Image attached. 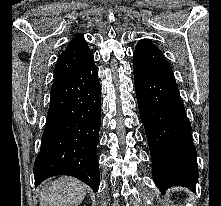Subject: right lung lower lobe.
Returning a JSON list of instances; mask_svg holds the SVG:
<instances>
[{
  "label": "right lung lower lobe",
  "instance_id": "1",
  "mask_svg": "<svg viewBox=\"0 0 221 206\" xmlns=\"http://www.w3.org/2000/svg\"><path fill=\"white\" fill-rule=\"evenodd\" d=\"M100 93L94 62L53 84L41 149L34 163L36 186L52 176L70 175L98 190Z\"/></svg>",
  "mask_w": 221,
  "mask_h": 206
}]
</instances>
